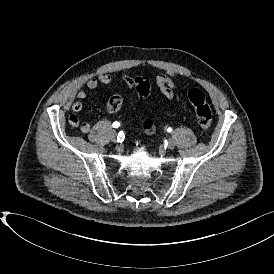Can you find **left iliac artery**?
Returning <instances> with one entry per match:
<instances>
[{"instance_id":"obj_1","label":"left iliac artery","mask_w":274,"mask_h":274,"mask_svg":"<svg viewBox=\"0 0 274 274\" xmlns=\"http://www.w3.org/2000/svg\"><path fill=\"white\" fill-rule=\"evenodd\" d=\"M167 132H169V133L172 132V128H171V127H168V128H167Z\"/></svg>"}]
</instances>
